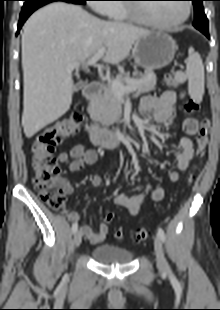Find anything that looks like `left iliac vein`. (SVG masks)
Segmentation results:
<instances>
[{
	"label": "left iliac vein",
	"mask_w": 220,
	"mask_h": 310,
	"mask_svg": "<svg viewBox=\"0 0 220 310\" xmlns=\"http://www.w3.org/2000/svg\"><path fill=\"white\" fill-rule=\"evenodd\" d=\"M154 249L156 254V263L158 270L164 274L168 273L169 266L164 256V250L159 236H155L154 238Z\"/></svg>",
	"instance_id": "obj_1"
}]
</instances>
